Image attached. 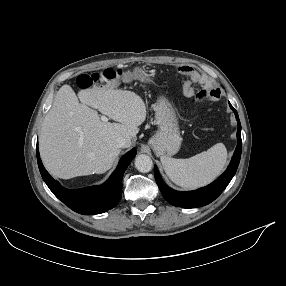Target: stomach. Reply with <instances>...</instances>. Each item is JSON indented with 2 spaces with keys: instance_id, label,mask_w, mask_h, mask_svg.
I'll return each instance as SVG.
<instances>
[{
  "instance_id": "obj_1",
  "label": "stomach",
  "mask_w": 286,
  "mask_h": 286,
  "mask_svg": "<svg viewBox=\"0 0 286 286\" xmlns=\"http://www.w3.org/2000/svg\"><path fill=\"white\" fill-rule=\"evenodd\" d=\"M131 76L142 82H153L151 76L141 67H135ZM154 111L158 130L149 140V145L157 156H172L179 151L182 141L176 108L166 97L160 96Z\"/></svg>"
}]
</instances>
